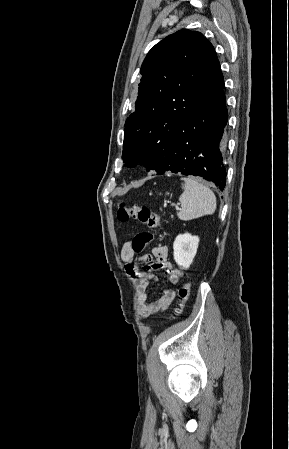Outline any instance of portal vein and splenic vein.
<instances>
[{
  "instance_id": "1",
  "label": "portal vein and splenic vein",
  "mask_w": 289,
  "mask_h": 449,
  "mask_svg": "<svg viewBox=\"0 0 289 449\" xmlns=\"http://www.w3.org/2000/svg\"><path fill=\"white\" fill-rule=\"evenodd\" d=\"M172 205H174V204H172ZM175 206H176L177 209H179V208H178V205H175Z\"/></svg>"
}]
</instances>
